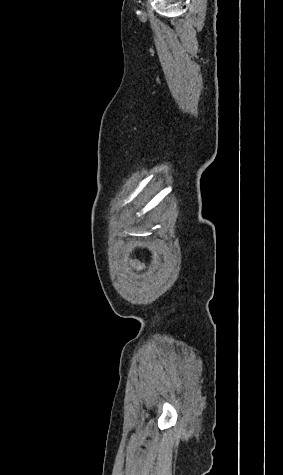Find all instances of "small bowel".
Segmentation results:
<instances>
[{
    "label": "small bowel",
    "instance_id": "obj_1",
    "mask_svg": "<svg viewBox=\"0 0 283 475\" xmlns=\"http://www.w3.org/2000/svg\"><path fill=\"white\" fill-rule=\"evenodd\" d=\"M135 268L137 269V271H142L144 269V264L142 262H137L135 264Z\"/></svg>",
    "mask_w": 283,
    "mask_h": 475
}]
</instances>
